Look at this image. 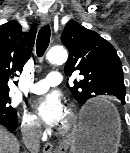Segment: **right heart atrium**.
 Here are the masks:
<instances>
[{"label": "right heart atrium", "instance_id": "obj_1", "mask_svg": "<svg viewBox=\"0 0 130 153\" xmlns=\"http://www.w3.org/2000/svg\"><path fill=\"white\" fill-rule=\"evenodd\" d=\"M21 128L23 133L29 137H38L41 132L39 120L26 111H24L21 116Z\"/></svg>", "mask_w": 130, "mask_h": 153}]
</instances>
